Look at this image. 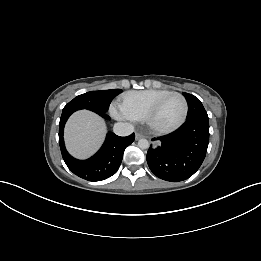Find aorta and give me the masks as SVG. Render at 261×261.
Here are the masks:
<instances>
[{"label":"aorta","mask_w":261,"mask_h":261,"mask_svg":"<svg viewBox=\"0 0 261 261\" xmlns=\"http://www.w3.org/2000/svg\"><path fill=\"white\" fill-rule=\"evenodd\" d=\"M138 146L141 149H147L149 147V142L147 139H140L138 141Z\"/></svg>","instance_id":"1"}]
</instances>
